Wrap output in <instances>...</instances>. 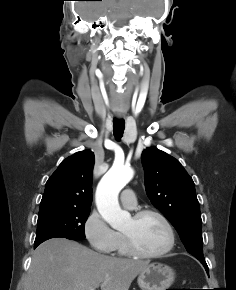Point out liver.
Returning a JSON list of instances; mask_svg holds the SVG:
<instances>
[{"instance_id":"1","label":"liver","mask_w":236,"mask_h":290,"mask_svg":"<svg viewBox=\"0 0 236 290\" xmlns=\"http://www.w3.org/2000/svg\"><path fill=\"white\" fill-rule=\"evenodd\" d=\"M147 261L97 253L64 238L40 244L33 253L25 290H128Z\"/></svg>"}]
</instances>
